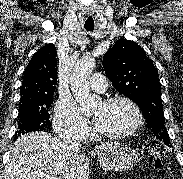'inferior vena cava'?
Wrapping results in <instances>:
<instances>
[{
	"label": "inferior vena cava",
	"mask_w": 183,
	"mask_h": 179,
	"mask_svg": "<svg viewBox=\"0 0 183 179\" xmlns=\"http://www.w3.org/2000/svg\"><path fill=\"white\" fill-rule=\"evenodd\" d=\"M63 144L71 152H78L81 148V137L78 133H69L62 136Z\"/></svg>",
	"instance_id": "602c4592"
}]
</instances>
